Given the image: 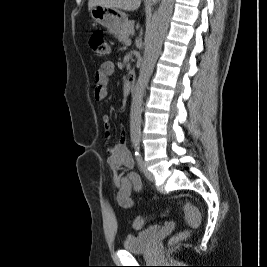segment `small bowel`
Returning <instances> with one entry per match:
<instances>
[{
    "mask_svg": "<svg viewBox=\"0 0 267 267\" xmlns=\"http://www.w3.org/2000/svg\"><path fill=\"white\" fill-rule=\"evenodd\" d=\"M114 72L112 62H103L95 73L93 96L97 102L103 101L107 96V86L110 76ZM102 123L106 129V138L110 136V116L102 115ZM107 162L113 171V181L118 189L117 201L123 208H131L133 199L131 194L133 191L140 192L142 190V181L140 176L134 172L133 158L127 149L125 132L121 131L118 142L109 147Z\"/></svg>",
    "mask_w": 267,
    "mask_h": 267,
    "instance_id": "small-bowel-1",
    "label": "small bowel"
}]
</instances>
